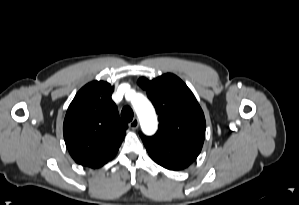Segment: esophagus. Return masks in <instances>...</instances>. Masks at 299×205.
<instances>
[{"instance_id": "1", "label": "esophagus", "mask_w": 299, "mask_h": 205, "mask_svg": "<svg viewBox=\"0 0 299 205\" xmlns=\"http://www.w3.org/2000/svg\"><path fill=\"white\" fill-rule=\"evenodd\" d=\"M138 126H139L138 118H134L129 124V127L133 130H136L138 128Z\"/></svg>"}]
</instances>
